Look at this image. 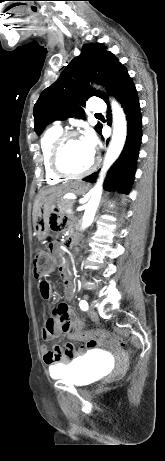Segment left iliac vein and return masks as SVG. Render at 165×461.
<instances>
[{"label": "left iliac vein", "mask_w": 165, "mask_h": 461, "mask_svg": "<svg viewBox=\"0 0 165 461\" xmlns=\"http://www.w3.org/2000/svg\"><path fill=\"white\" fill-rule=\"evenodd\" d=\"M88 316L93 320V321H97L98 320V314L97 312L94 310V308H90L88 310Z\"/></svg>", "instance_id": "4c4485c4"}]
</instances>
